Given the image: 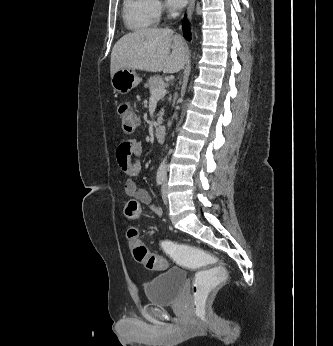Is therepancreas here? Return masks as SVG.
Returning a JSON list of instances; mask_svg holds the SVG:
<instances>
[{"label": "pancreas", "instance_id": "cf45deb5", "mask_svg": "<svg viewBox=\"0 0 333 346\" xmlns=\"http://www.w3.org/2000/svg\"><path fill=\"white\" fill-rule=\"evenodd\" d=\"M147 88H149L150 93L152 94L153 91H155L158 88L164 87L165 83L163 81V78L159 75H155L153 77H150L145 85ZM164 112L163 110L160 112L159 117L157 119L156 125H160L162 123V116Z\"/></svg>", "mask_w": 333, "mask_h": 346}]
</instances>
